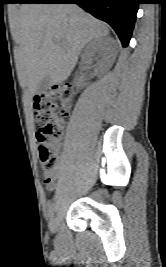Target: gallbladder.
<instances>
[{
    "mask_svg": "<svg viewBox=\"0 0 166 267\" xmlns=\"http://www.w3.org/2000/svg\"><path fill=\"white\" fill-rule=\"evenodd\" d=\"M50 86V76H45L37 88V93H42Z\"/></svg>",
    "mask_w": 166,
    "mask_h": 267,
    "instance_id": "bac80fb5",
    "label": "gallbladder"
}]
</instances>
